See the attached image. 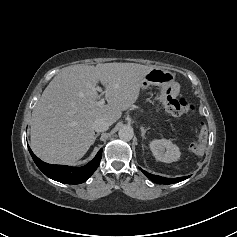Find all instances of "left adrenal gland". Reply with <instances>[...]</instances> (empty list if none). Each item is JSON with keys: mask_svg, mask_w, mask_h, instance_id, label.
Masks as SVG:
<instances>
[{"mask_svg": "<svg viewBox=\"0 0 237 237\" xmlns=\"http://www.w3.org/2000/svg\"><path fill=\"white\" fill-rule=\"evenodd\" d=\"M140 129H141V136L143 139H145V133L148 129H145L143 126H141Z\"/></svg>", "mask_w": 237, "mask_h": 237, "instance_id": "1", "label": "left adrenal gland"}]
</instances>
